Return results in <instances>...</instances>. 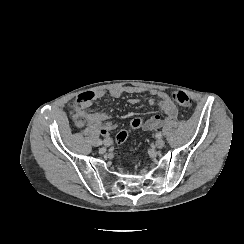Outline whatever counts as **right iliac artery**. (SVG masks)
<instances>
[{
	"mask_svg": "<svg viewBox=\"0 0 244 244\" xmlns=\"http://www.w3.org/2000/svg\"><path fill=\"white\" fill-rule=\"evenodd\" d=\"M98 144H99V145L102 144V140H101V139L98 140Z\"/></svg>",
	"mask_w": 244,
	"mask_h": 244,
	"instance_id": "1",
	"label": "right iliac artery"
}]
</instances>
